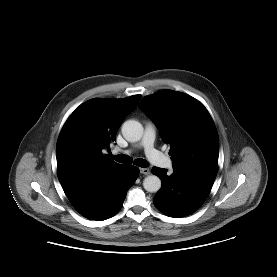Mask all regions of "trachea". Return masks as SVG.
I'll list each match as a JSON object with an SVG mask.
<instances>
[{
  "instance_id": "3493384b",
  "label": "trachea",
  "mask_w": 277,
  "mask_h": 277,
  "mask_svg": "<svg viewBox=\"0 0 277 277\" xmlns=\"http://www.w3.org/2000/svg\"><path fill=\"white\" fill-rule=\"evenodd\" d=\"M111 157L119 163H131L132 162L131 158L127 155H124V154H119V155H116V156L111 155ZM134 164L139 166V167H147V165H148L147 162L142 158L136 159L134 161Z\"/></svg>"
}]
</instances>
